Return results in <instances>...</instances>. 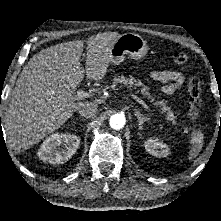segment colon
<instances>
[{
  "instance_id": "5ec220e1",
  "label": "colon",
  "mask_w": 221,
  "mask_h": 221,
  "mask_svg": "<svg viewBox=\"0 0 221 221\" xmlns=\"http://www.w3.org/2000/svg\"><path fill=\"white\" fill-rule=\"evenodd\" d=\"M173 62L177 66H185L188 62V56L183 52H177L173 55ZM187 88L189 92V116L192 120L198 121L200 119V112L203 106L202 90L200 82L195 77H190L187 81Z\"/></svg>"
}]
</instances>
